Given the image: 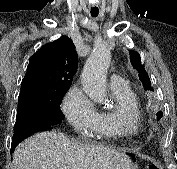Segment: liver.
<instances>
[{"label": "liver", "mask_w": 177, "mask_h": 169, "mask_svg": "<svg viewBox=\"0 0 177 169\" xmlns=\"http://www.w3.org/2000/svg\"><path fill=\"white\" fill-rule=\"evenodd\" d=\"M125 152L94 144H79L61 132H41L20 143L13 169H129Z\"/></svg>", "instance_id": "obj_1"}]
</instances>
